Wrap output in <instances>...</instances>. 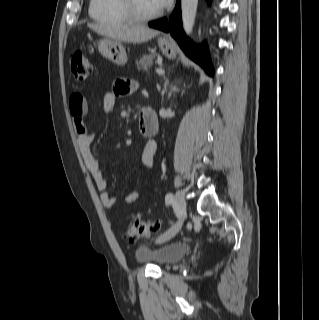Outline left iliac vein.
Returning <instances> with one entry per match:
<instances>
[{
    "mask_svg": "<svg viewBox=\"0 0 319 320\" xmlns=\"http://www.w3.org/2000/svg\"><path fill=\"white\" fill-rule=\"evenodd\" d=\"M175 205L178 208V210L180 211L181 218L178 221V223L175 226H173L166 235L160 237V241H165V240H168V239L172 238L179 231V229L181 228L183 220H184V218L186 216V212H185V209H186L185 193L183 191H181V190L176 192Z\"/></svg>",
    "mask_w": 319,
    "mask_h": 320,
    "instance_id": "left-iliac-vein-1",
    "label": "left iliac vein"
}]
</instances>
